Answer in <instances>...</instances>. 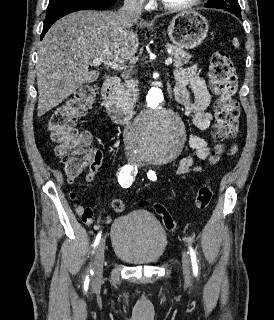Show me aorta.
Wrapping results in <instances>:
<instances>
[{"mask_svg":"<svg viewBox=\"0 0 274 320\" xmlns=\"http://www.w3.org/2000/svg\"><path fill=\"white\" fill-rule=\"evenodd\" d=\"M147 108L134 120L131 134L136 150L153 162L173 160L185 141V127L165 101L162 90L152 87L146 96Z\"/></svg>","mask_w":274,"mask_h":320,"instance_id":"762f6f07","label":"aorta"}]
</instances>
